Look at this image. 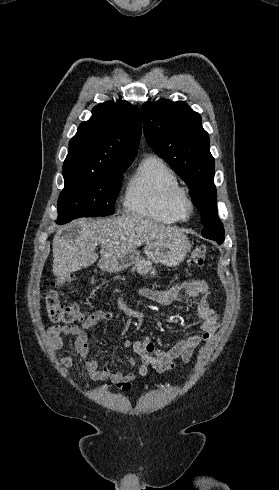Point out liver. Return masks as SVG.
<instances>
[{
	"mask_svg": "<svg viewBox=\"0 0 279 490\" xmlns=\"http://www.w3.org/2000/svg\"><path fill=\"white\" fill-rule=\"evenodd\" d=\"M72 224L81 228L77 240H64L62 230H58L54 236L52 272L57 278L92 266L99 258L95 252L97 246H102L99 252L102 258H118L148 242L176 240L184 236L178 228L159 226L137 216H117L104 220L80 218Z\"/></svg>",
	"mask_w": 279,
	"mask_h": 490,
	"instance_id": "liver-1",
	"label": "liver"
}]
</instances>
